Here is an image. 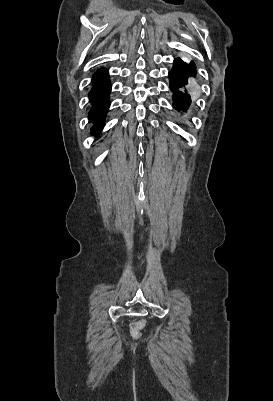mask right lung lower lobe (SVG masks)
I'll list each match as a JSON object with an SVG mask.
<instances>
[{"label": "right lung lower lobe", "mask_w": 273, "mask_h": 401, "mask_svg": "<svg viewBox=\"0 0 273 401\" xmlns=\"http://www.w3.org/2000/svg\"><path fill=\"white\" fill-rule=\"evenodd\" d=\"M108 71L98 70L92 78V89L89 92V99L92 105L88 116L93 123L92 134H99L105 124V117L110 107L109 95L111 84L109 82Z\"/></svg>", "instance_id": "1"}]
</instances>
